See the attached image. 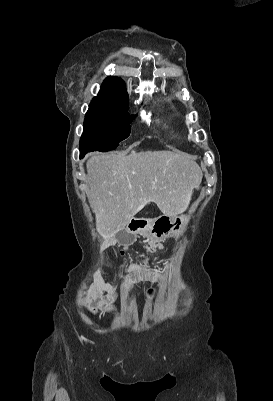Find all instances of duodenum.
<instances>
[{
    "label": "duodenum",
    "instance_id": "1",
    "mask_svg": "<svg viewBox=\"0 0 273 401\" xmlns=\"http://www.w3.org/2000/svg\"><path fill=\"white\" fill-rule=\"evenodd\" d=\"M147 227V220L143 218H133L128 224V231L132 234L144 231Z\"/></svg>",
    "mask_w": 273,
    "mask_h": 401
}]
</instances>
